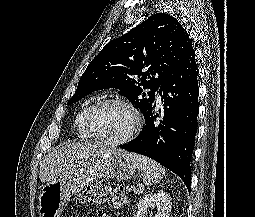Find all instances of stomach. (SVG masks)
I'll return each instance as SVG.
<instances>
[{
	"label": "stomach",
	"mask_w": 255,
	"mask_h": 217,
	"mask_svg": "<svg viewBox=\"0 0 255 217\" xmlns=\"http://www.w3.org/2000/svg\"><path fill=\"white\" fill-rule=\"evenodd\" d=\"M135 165L129 153L118 148L103 151L60 173L48 181L40 192V217H60L68 200L81 189L98 179L126 180L133 176Z\"/></svg>",
	"instance_id": "0dacf381"
}]
</instances>
